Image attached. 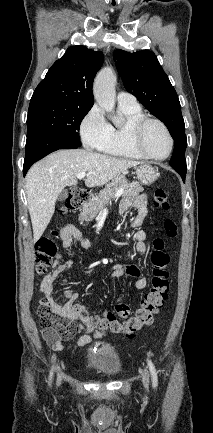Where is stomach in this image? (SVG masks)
I'll use <instances>...</instances> for the list:
<instances>
[{
    "label": "stomach",
    "mask_w": 213,
    "mask_h": 433,
    "mask_svg": "<svg viewBox=\"0 0 213 433\" xmlns=\"http://www.w3.org/2000/svg\"><path fill=\"white\" fill-rule=\"evenodd\" d=\"M136 175L143 185H151L157 179L158 172L150 165H141L136 168Z\"/></svg>",
    "instance_id": "stomach-1"
}]
</instances>
